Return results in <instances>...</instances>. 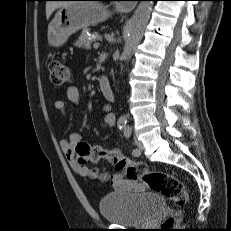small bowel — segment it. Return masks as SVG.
<instances>
[{"label":"small bowel","mask_w":231,"mask_h":231,"mask_svg":"<svg viewBox=\"0 0 231 231\" xmlns=\"http://www.w3.org/2000/svg\"><path fill=\"white\" fill-rule=\"evenodd\" d=\"M67 97L73 103H78L80 100V94L75 86H71L67 89ZM55 109L60 113L61 116L67 114L66 103L63 100H57L55 102ZM104 117L102 124L104 127H113L116 122V117L110 112V106H104ZM81 140V135L78 132L70 134L68 139L60 141V147L68 161L70 162L73 169L82 177H87L90 174V169L86 166L80 165L75 157V146ZM116 186L124 191L129 192H143L146 190V185L138 181L124 180L120 175L115 177L114 180Z\"/></svg>","instance_id":"1"}]
</instances>
